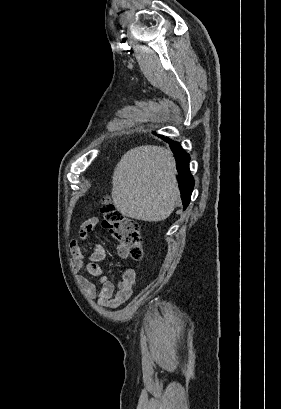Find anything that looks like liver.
<instances>
[{
	"instance_id": "liver-1",
	"label": "liver",
	"mask_w": 281,
	"mask_h": 409,
	"mask_svg": "<svg viewBox=\"0 0 281 409\" xmlns=\"http://www.w3.org/2000/svg\"><path fill=\"white\" fill-rule=\"evenodd\" d=\"M176 164L163 146H136L123 154L114 168L112 198L123 217L164 221L179 198Z\"/></svg>"
}]
</instances>
